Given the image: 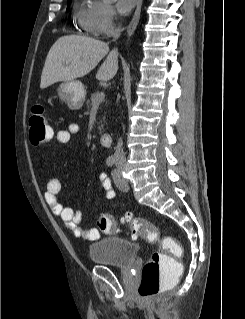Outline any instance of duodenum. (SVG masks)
Returning <instances> with one entry per match:
<instances>
[{"instance_id": "1", "label": "duodenum", "mask_w": 245, "mask_h": 319, "mask_svg": "<svg viewBox=\"0 0 245 319\" xmlns=\"http://www.w3.org/2000/svg\"><path fill=\"white\" fill-rule=\"evenodd\" d=\"M100 139L104 147H110L112 143V137L110 133H107V132L103 133Z\"/></svg>"}]
</instances>
